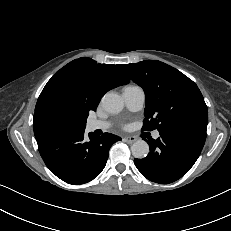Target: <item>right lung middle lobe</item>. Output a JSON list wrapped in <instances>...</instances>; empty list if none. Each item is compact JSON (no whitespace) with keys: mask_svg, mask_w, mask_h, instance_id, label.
Returning a JSON list of instances; mask_svg holds the SVG:
<instances>
[{"mask_svg":"<svg viewBox=\"0 0 231 231\" xmlns=\"http://www.w3.org/2000/svg\"><path fill=\"white\" fill-rule=\"evenodd\" d=\"M88 113L73 100L61 99L54 102L46 111L44 135L69 134L85 130Z\"/></svg>","mask_w":231,"mask_h":231,"instance_id":"right-lung-middle-lobe-1","label":"right lung middle lobe"}]
</instances>
